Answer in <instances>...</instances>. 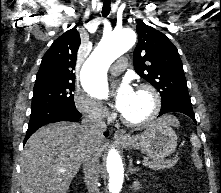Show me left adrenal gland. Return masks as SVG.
Wrapping results in <instances>:
<instances>
[{"mask_svg":"<svg viewBox=\"0 0 221 193\" xmlns=\"http://www.w3.org/2000/svg\"><path fill=\"white\" fill-rule=\"evenodd\" d=\"M132 163H133V161H132V159L130 158V160H129L128 172H130L131 174H135L136 172L139 171V168H133V167H132Z\"/></svg>","mask_w":221,"mask_h":193,"instance_id":"obj_1","label":"left adrenal gland"}]
</instances>
